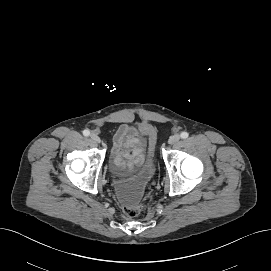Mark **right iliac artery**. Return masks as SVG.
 <instances>
[{
    "instance_id": "right-iliac-artery-1",
    "label": "right iliac artery",
    "mask_w": 271,
    "mask_h": 271,
    "mask_svg": "<svg viewBox=\"0 0 271 271\" xmlns=\"http://www.w3.org/2000/svg\"><path fill=\"white\" fill-rule=\"evenodd\" d=\"M83 135H84V136H89V135H90V131L87 130V129L84 130V131H83Z\"/></svg>"
}]
</instances>
